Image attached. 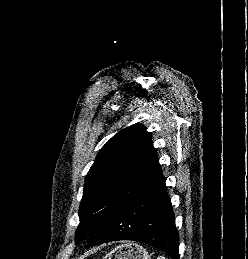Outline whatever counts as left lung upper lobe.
Here are the masks:
<instances>
[{
    "label": "left lung upper lobe",
    "instance_id": "left-lung-upper-lobe-1",
    "mask_svg": "<svg viewBox=\"0 0 248 259\" xmlns=\"http://www.w3.org/2000/svg\"><path fill=\"white\" fill-rule=\"evenodd\" d=\"M156 153L141 124L119 131L103 146L86 176L76 242L95 235L164 180Z\"/></svg>",
    "mask_w": 248,
    "mask_h": 259
}]
</instances>
